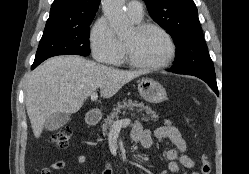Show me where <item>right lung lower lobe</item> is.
Wrapping results in <instances>:
<instances>
[{
  "mask_svg": "<svg viewBox=\"0 0 249 174\" xmlns=\"http://www.w3.org/2000/svg\"><path fill=\"white\" fill-rule=\"evenodd\" d=\"M41 62H38V63H33L31 69H34L36 66H38Z\"/></svg>",
  "mask_w": 249,
  "mask_h": 174,
  "instance_id": "98d812e1",
  "label": "right lung lower lobe"
}]
</instances>
